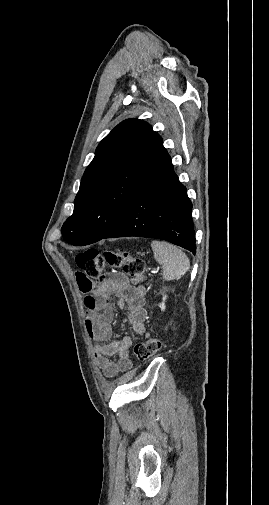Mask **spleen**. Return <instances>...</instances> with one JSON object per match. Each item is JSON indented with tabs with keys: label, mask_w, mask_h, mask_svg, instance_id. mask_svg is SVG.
<instances>
[{
	"label": "spleen",
	"mask_w": 269,
	"mask_h": 505,
	"mask_svg": "<svg viewBox=\"0 0 269 505\" xmlns=\"http://www.w3.org/2000/svg\"><path fill=\"white\" fill-rule=\"evenodd\" d=\"M151 247L155 260L162 265L164 280H177L189 270L190 261L180 248L158 240H153Z\"/></svg>",
	"instance_id": "3e777b00"
}]
</instances>
